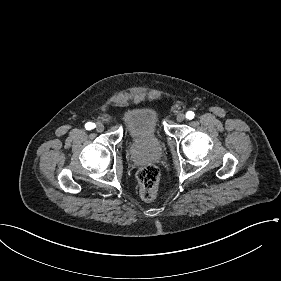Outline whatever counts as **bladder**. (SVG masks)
<instances>
[{
	"instance_id": "31cf9c89",
	"label": "bladder",
	"mask_w": 281,
	"mask_h": 281,
	"mask_svg": "<svg viewBox=\"0 0 281 281\" xmlns=\"http://www.w3.org/2000/svg\"><path fill=\"white\" fill-rule=\"evenodd\" d=\"M124 110V127L130 145L137 136L145 132H156L163 136L159 111L155 106L143 103Z\"/></svg>"
}]
</instances>
